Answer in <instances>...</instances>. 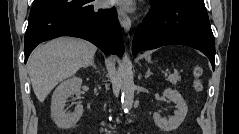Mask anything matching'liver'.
Segmentation results:
<instances>
[{"label":"liver","mask_w":239,"mask_h":134,"mask_svg":"<svg viewBox=\"0 0 239 134\" xmlns=\"http://www.w3.org/2000/svg\"><path fill=\"white\" fill-rule=\"evenodd\" d=\"M97 48L85 40L61 37L37 47L27 62L33 91L43 102L61 81L94 59Z\"/></svg>","instance_id":"liver-1"}]
</instances>
